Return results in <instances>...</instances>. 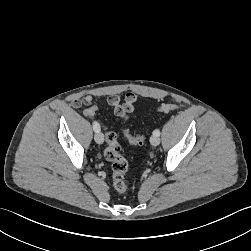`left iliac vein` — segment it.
Listing matches in <instances>:
<instances>
[{"label":"left iliac vein","mask_w":251,"mask_h":251,"mask_svg":"<svg viewBox=\"0 0 251 251\" xmlns=\"http://www.w3.org/2000/svg\"><path fill=\"white\" fill-rule=\"evenodd\" d=\"M150 143L153 145V146H157L160 144V138L158 136H155L153 135L151 138H150Z\"/></svg>","instance_id":"4c4485c4"}]
</instances>
